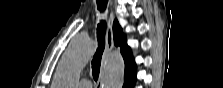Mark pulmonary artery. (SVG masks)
<instances>
[{"label": "pulmonary artery", "mask_w": 223, "mask_h": 88, "mask_svg": "<svg viewBox=\"0 0 223 88\" xmlns=\"http://www.w3.org/2000/svg\"><path fill=\"white\" fill-rule=\"evenodd\" d=\"M80 88H90L91 82L88 79H82L78 82Z\"/></svg>", "instance_id": "e3ab8cb5"}]
</instances>
